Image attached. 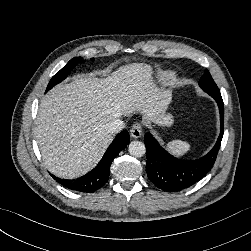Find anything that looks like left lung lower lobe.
<instances>
[{
    "mask_svg": "<svg viewBox=\"0 0 251 251\" xmlns=\"http://www.w3.org/2000/svg\"><path fill=\"white\" fill-rule=\"evenodd\" d=\"M211 96L219 107L221 133L212 150L205 156L190 161L178 159L164 150L150 133L145 134L146 171L150 181L158 188L167 192L184 190L201 180L213 167L223 137L224 104L221 94Z\"/></svg>",
    "mask_w": 251,
    "mask_h": 251,
    "instance_id": "0a47b994",
    "label": "left lung lower lobe"
}]
</instances>
